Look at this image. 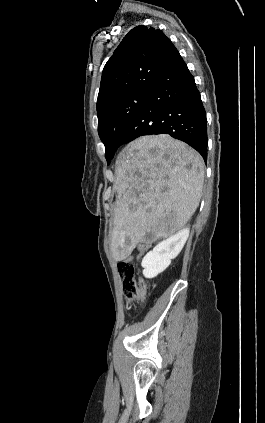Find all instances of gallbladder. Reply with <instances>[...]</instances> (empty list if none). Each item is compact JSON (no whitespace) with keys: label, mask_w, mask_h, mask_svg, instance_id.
Listing matches in <instances>:
<instances>
[{"label":"gallbladder","mask_w":265,"mask_h":423,"mask_svg":"<svg viewBox=\"0 0 265 423\" xmlns=\"http://www.w3.org/2000/svg\"><path fill=\"white\" fill-rule=\"evenodd\" d=\"M126 241H129V238L128 237L126 238Z\"/></svg>","instance_id":"obj_1"}]
</instances>
